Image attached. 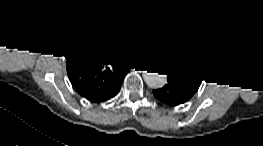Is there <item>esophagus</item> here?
<instances>
[{
    "mask_svg": "<svg viewBox=\"0 0 263 146\" xmlns=\"http://www.w3.org/2000/svg\"><path fill=\"white\" fill-rule=\"evenodd\" d=\"M141 65L140 64H137V65H135L134 66V70H137L138 72H140L141 71Z\"/></svg>",
    "mask_w": 263,
    "mask_h": 146,
    "instance_id": "1",
    "label": "esophagus"
}]
</instances>
